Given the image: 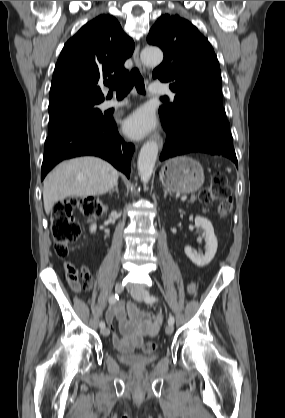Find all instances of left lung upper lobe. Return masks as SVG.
<instances>
[{
  "label": "left lung upper lobe",
  "mask_w": 285,
  "mask_h": 418,
  "mask_svg": "<svg viewBox=\"0 0 285 418\" xmlns=\"http://www.w3.org/2000/svg\"><path fill=\"white\" fill-rule=\"evenodd\" d=\"M147 42L164 52L153 78L169 83L174 103L159 108L161 121L170 127L200 113L226 119L218 59L208 40L189 21L163 15L150 29Z\"/></svg>",
  "instance_id": "left-lung-upper-lobe-1"
}]
</instances>
